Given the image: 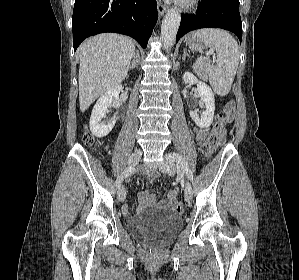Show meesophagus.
Instances as JSON below:
<instances>
[{
    "label": "esophagus",
    "instance_id": "obj_1",
    "mask_svg": "<svg viewBox=\"0 0 299 280\" xmlns=\"http://www.w3.org/2000/svg\"><path fill=\"white\" fill-rule=\"evenodd\" d=\"M167 10V6L164 5L162 2H158V13L159 15H163Z\"/></svg>",
    "mask_w": 299,
    "mask_h": 280
}]
</instances>
